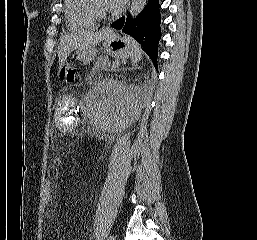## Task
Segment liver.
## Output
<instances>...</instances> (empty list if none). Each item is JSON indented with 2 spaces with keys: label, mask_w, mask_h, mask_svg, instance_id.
<instances>
[{
  "label": "liver",
  "mask_w": 257,
  "mask_h": 240,
  "mask_svg": "<svg viewBox=\"0 0 257 240\" xmlns=\"http://www.w3.org/2000/svg\"><path fill=\"white\" fill-rule=\"evenodd\" d=\"M108 31L109 29H102L96 32L85 30L62 36L58 47L59 69L64 66L67 57L72 51L79 48L95 47L106 38Z\"/></svg>",
  "instance_id": "6515ba94"
}]
</instances>
